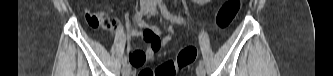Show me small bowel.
Instances as JSON below:
<instances>
[{"instance_id":"obj_1","label":"small bowel","mask_w":333,"mask_h":76,"mask_svg":"<svg viewBox=\"0 0 333 76\" xmlns=\"http://www.w3.org/2000/svg\"><path fill=\"white\" fill-rule=\"evenodd\" d=\"M85 19L93 28H98L102 24L110 31L112 35L116 34V31L120 25L119 19L116 17H109L108 12L106 11H101L94 15L86 11ZM138 23L140 27L145 29L143 38L148 42V47L144 52L137 50L128 51V56L131 57V63L134 68L143 67L144 64L150 60L155 53L164 48L166 44L172 39L171 35H167L163 38V40H160L159 35L161 34V30L158 27L147 26L144 22ZM126 29L131 36L138 37L141 35V32L137 29L131 28L129 26H127ZM142 70H147V68H143Z\"/></svg>"}]
</instances>
